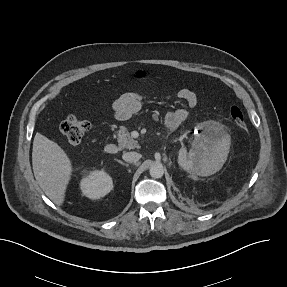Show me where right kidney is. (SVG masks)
<instances>
[{"label":"right kidney","mask_w":287,"mask_h":287,"mask_svg":"<svg viewBox=\"0 0 287 287\" xmlns=\"http://www.w3.org/2000/svg\"><path fill=\"white\" fill-rule=\"evenodd\" d=\"M80 188L84 196L96 200L113 189L112 178L104 170H94L81 180Z\"/></svg>","instance_id":"1"}]
</instances>
